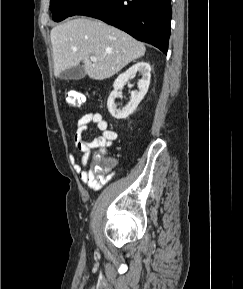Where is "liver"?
I'll return each instance as SVG.
<instances>
[{
  "label": "liver",
  "instance_id": "liver-1",
  "mask_svg": "<svg viewBox=\"0 0 243 289\" xmlns=\"http://www.w3.org/2000/svg\"><path fill=\"white\" fill-rule=\"evenodd\" d=\"M54 75L83 63L92 79L103 80L118 73L131 61L145 54V45L124 31L97 19L69 20L52 28ZM97 58L96 62L90 60Z\"/></svg>",
  "mask_w": 243,
  "mask_h": 289
}]
</instances>
